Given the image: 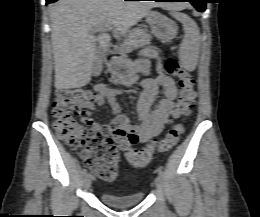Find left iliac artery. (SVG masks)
Returning a JSON list of instances; mask_svg holds the SVG:
<instances>
[{"mask_svg": "<svg viewBox=\"0 0 260 217\" xmlns=\"http://www.w3.org/2000/svg\"><path fill=\"white\" fill-rule=\"evenodd\" d=\"M158 174L162 179L164 178V172L161 168H158Z\"/></svg>", "mask_w": 260, "mask_h": 217, "instance_id": "44dca946", "label": "left iliac artery"}]
</instances>
